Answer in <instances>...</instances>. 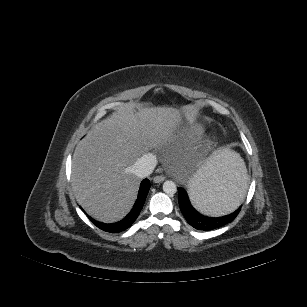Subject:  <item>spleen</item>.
<instances>
[{"instance_id":"1","label":"spleen","mask_w":307,"mask_h":307,"mask_svg":"<svg viewBox=\"0 0 307 307\" xmlns=\"http://www.w3.org/2000/svg\"><path fill=\"white\" fill-rule=\"evenodd\" d=\"M246 191L244 164L239 155L227 149L212 151L189 187L193 205L211 216L235 210L243 202Z\"/></svg>"}]
</instances>
